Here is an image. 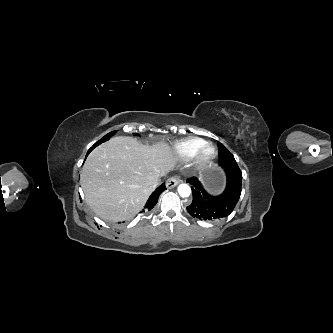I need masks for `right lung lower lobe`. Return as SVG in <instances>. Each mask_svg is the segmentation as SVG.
I'll use <instances>...</instances> for the list:
<instances>
[{"instance_id":"right-lung-lower-lobe-1","label":"right lung lower lobe","mask_w":333,"mask_h":333,"mask_svg":"<svg viewBox=\"0 0 333 333\" xmlns=\"http://www.w3.org/2000/svg\"><path fill=\"white\" fill-rule=\"evenodd\" d=\"M97 146V142L89 149L87 155L92 151L93 148H95ZM86 155V157H87ZM165 185L162 184L160 187H158L149 197L146 205L144 206L143 211H149L151 210L157 203L158 198L160 196V194L165 190Z\"/></svg>"}]
</instances>
